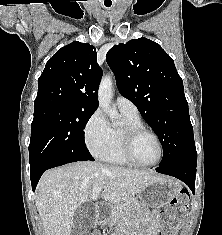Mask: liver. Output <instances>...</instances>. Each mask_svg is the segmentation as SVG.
I'll return each instance as SVG.
<instances>
[{"mask_svg":"<svg viewBox=\"0 0 222 235\" xmlns=\"http://www.w3.org/2000/svg\"><path fill=\"white\" fill-rule=\"evenodd\" d=\"M158 178L152 172L99 162H76L46 171L35 200L45 235H71L74 213L83 203L99 197L111 204L127 202ZM99 186L103 191L93 193Z\"/></svg>","mask_w":222,"mask_h":235,"instance_id":"liver-1","label":"liver"}]
</instances>
